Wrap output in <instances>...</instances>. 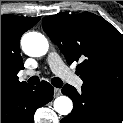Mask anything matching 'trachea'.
Returning <instances> with one entry per match:
<instances>
[{"label":"trachea","mask_w":123,"mask_h":123,"mask_svg":"<svg viewBox=\"0 0 123 123\" xmlns=\"http://www.w3.org/2000/svg\"><path fill=\"white\" fill-rule=\"evenodd\" d=\"M29 84L31 85H37L39 84V77L38 76H32L29 80H28ZM51 83L55 86L60 88L63 84L62 80L59 78H52L51 79Z\"/></svg>","instance_id":"obj_1"}]
</instances>
